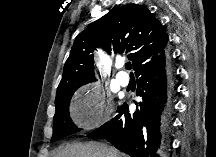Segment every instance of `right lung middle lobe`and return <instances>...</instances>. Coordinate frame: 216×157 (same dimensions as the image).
Wrapping results in <instances>:
<instances>
[{"instance_id":"1","label":"right lung middle lobe","mask_w":216,"mask_h":157,"mask_svg":"<svg viewBox=\"0 0 216 157\" xmlns=\"http://www.w3.org/2000/svg\"><path fill=\"white\" fill-rule=\"evenodd\" d=\"M73 91H63L59 97L55 99V115L53 125V136L51 142L57 141L64 136L78 132L80 129L75 126L69 115V104Z\"/></svg>"}]
</instances>
